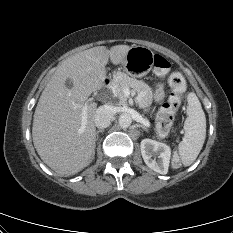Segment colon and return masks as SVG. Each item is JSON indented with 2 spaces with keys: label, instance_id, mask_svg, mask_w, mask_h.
<instances>
[{
  "label": "colon",
  "instance_id": "5ec220e1",
  "mask_svg": "<svg viewBox=\"0 0 233 233\" xmlns=\"http://www.w3.org/2000/svg\"><path fill=\"white\" fill-rule=\"evenodd\" d=\"M153 71L157 76H165L170 71V62L161 55H155L153 58ZM168 83L171 87V95L166 103L161 107L156 122V131L159 137H165L174 120V116L180 107L182 93L186 84L183 76L178 72H173L168 77ZM171 165L174 169L181 167L182 162L178 154H173Z\"/></svg>",
  "mask_w": 233,
  "mask_h": 233
}]
</instances>
